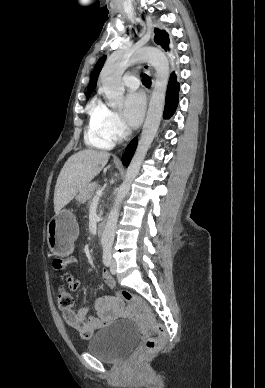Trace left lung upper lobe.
Listing matches in <instances>:
<instances>
[{"label": "left lung upper lobe", "mask_w": 265, "mask_h": 388, "mask_svg": "<svg viewBox=\"0 0 265 388\" xmlns=\"http://www.w3.org/2000/svg\"><path fill=\"white\" fill-rule=\"evenodd\" d=\"M155 37L154 40L157 44H161V46L167 51L168 44H169V37L168 34L165 31H161L157 28H155Z\"/></svg>", "instance_id": "left-lung-upper-lobe-1"}]
</instances>
